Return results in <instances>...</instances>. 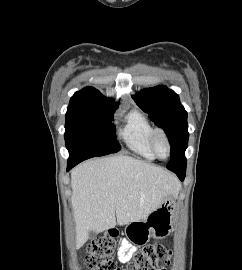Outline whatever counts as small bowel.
Listing matches in <instances>:
<instances>
[{"mask_svg":"<svg viewBox=\"0 0 242 270\" xmlns=\"http://www.w3.org/2000/svg\"><path fill=\"white\" fill-rule=\"evenodd\" d=\"M133 247L131 246V244L127 241H123L120 247V250L118 252V260L119 261H125L130 259L132 252H133Z\"/></svg>","mask_w":242,"mask_h":270,"instance_id":"small-bowel-1","label":"small bowel"}]
</instances>
